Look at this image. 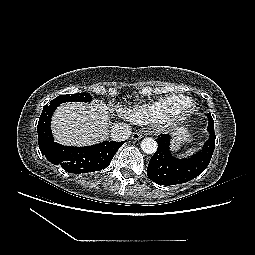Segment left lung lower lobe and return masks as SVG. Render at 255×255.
<instances>
[{"label":"left lung lower lobe","instance_id":"obj_1","mask_svg":"<svg viewBox=\"0 0 255 255\" xmlns=\"http://www.w3.org/2000/svg\"><path fill=\"white\" fill-rule=\"evenodd\" d=\"M209 139L202 151L187 159H177L171 155L168 134H161L158 138V149L149 161L147 176L160 185H176L188 182L200 175L208 166L215 147L214 120L208 115Z\"/></svg>","mask_w":255,"mask_h":255}]
</instances>
